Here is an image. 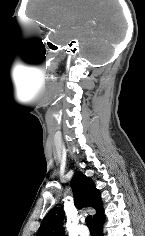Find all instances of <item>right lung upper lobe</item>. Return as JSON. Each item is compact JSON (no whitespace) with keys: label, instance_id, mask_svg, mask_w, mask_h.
<instances>
[{"label":"right lung upper lobe","instance_id":"1","mask_svg":"<svg viewBox=\"0 0 145 236\" xmlns=\"http://www.w3.org/2000/svg\"><path fill=\"white\" fill-rule=\"evenodd\" d=\"M71 187L76 208H94L96 210V214L93 216L94 221L104 216L100 191L95 187L94 182L90 178L78 171L71 181ZM64 216L65 213L62 207L53 208L44 218L37 236H65L63 227Z\"/></svg>","mask_w":145,"mask_h":236}]
</instances>
